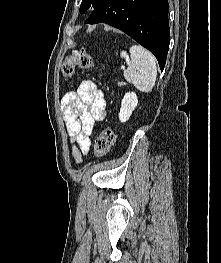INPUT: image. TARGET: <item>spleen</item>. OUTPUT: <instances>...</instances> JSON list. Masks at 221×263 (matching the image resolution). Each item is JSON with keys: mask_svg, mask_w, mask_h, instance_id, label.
Instances as JSON below:
<instances>
[{"mask_svg": "<svg viewBox=\"0 0 221 263\" xmlns=\"http://www.w3.org/2000/svg\"><path fill=\"white\" fill-rule=\"evenodd\" d=\"M120 56L127 62L128 68L124 70V77L141 92H150L156 82L157 67L155 57L139 45H133Z\"/></svg>", "mask_w": 221, "mask_h": 263, "instance_id": "3e777b00", "label": "spleen"}]
</instances>
